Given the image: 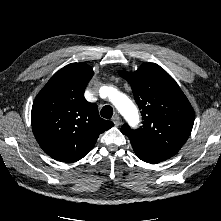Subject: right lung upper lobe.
<instances>
[{
	"label": "right lung upper lobe",
	"mask_w": 221,
	"mask_h": 221,
	"mask_svg": "<svg viewBox=\"0 0 221 221\" xmlns=\"http://www.w3.org/2000/svg\"><path fill=\"white\" fill-rule=\"evenodd\" d=\"M93 69L72 63L57 73L36 96L31 112L34 136L53 159L71 163L91 151L101 133L114 126L84 98Z\"/></svg>",
	"instance_id": "obj_1"
}]
</instances>
